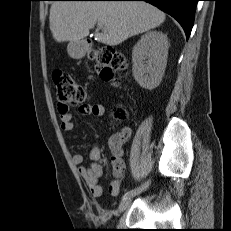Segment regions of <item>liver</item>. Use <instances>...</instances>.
Segmentation results:
<instances>
[{
    "mask_svg": "<svg viewBox=\"0 0 231 231\" xmlns=\"http://www.w3.org/2000/svg\"><path fill=\"white\" fill-rule=\"evenodd\" d=\"M165 14L146 2L56 1L50 8V30L57 42L79 41L96 23L98 42L116 46L128 38L160 26Z\"/></svg>",
    "mask_w": 231,
    "mask_h": 231,
    "instance_id": "obj_1",
    "label": "liver"
}]
</instances>
